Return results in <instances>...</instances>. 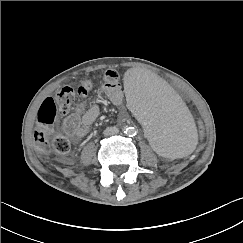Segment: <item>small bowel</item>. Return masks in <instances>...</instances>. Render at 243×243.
Listing matches in <instances>:
<instances>
[{
    "label": "small bowel",
    "instance_id": "small-bowel-1",
    "mask_svg": "<svg viewBox=\"0 0 243 243\" xmlns=\"http://www.w3.org/2000/svg\"><path fill=\"white\" fill-rule=\"evenodd\" d=\"M103 92L114 105H121L124 95L120 87V75L115 69H108L104 75ZM100 109L97 104L91 105L84 111V104H79L76 111L65 117L64 132L74 140L83 138L99 116Z\"/></svg>",
    "mask_w": 243,
    "mask_h": 243
}]
</instances>
